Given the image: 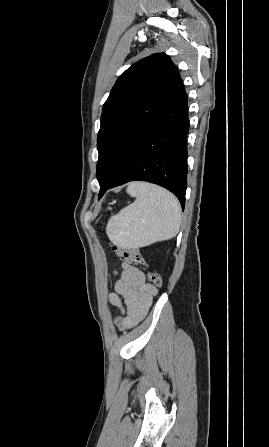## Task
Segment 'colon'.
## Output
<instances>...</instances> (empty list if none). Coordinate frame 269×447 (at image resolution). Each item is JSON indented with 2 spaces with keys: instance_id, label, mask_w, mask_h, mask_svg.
I'll return each instance as SVG.
<instances>
[{
  "instance_id": "5ec220e1",
  "label": "colon",
  "mask_w": 269,
  "mask_h": 447,
  "mask_svg": "<svg viewBox=\"0 0 269 447\" xmlns=\"http://www.w3.org/2000/svg\"><path fill=\"white\" fill-rule=\"evenodd\" d=\"M112 250L116 254L118 258L121 260L130 263L136 267L142 268L147 271V277L150 281V283L154 287H161L162 285V278L159 274L152 272L148 269V266L145 263L144 256L142 253L137 249H127V248H120L117 245H112Z\"/></svg>"
}]
</instances>
